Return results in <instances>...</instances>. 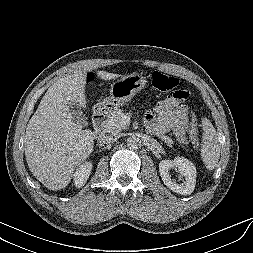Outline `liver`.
Returning a JSON list of instances; mask_svg holds the SVG:
<instances>
[{"label":"liver","instance_id":"obj_1","mask_svg":"<svg viewBox=\"0 0 253 253\" xmlns=\"http://www.w3.org/2000/svg\"><path fill=\"white\" fill-rule=\"evenodd\" d=\"M87 69L75 70L53 83L29 120L25 134V156L35 178L50 190H61L75 170L93 151L95 134L73 121L69 103L86 107ZM103 80L118 74L98 71Z\"/></svg>","mask_w":253,"mask_h":253}]
</instances>
